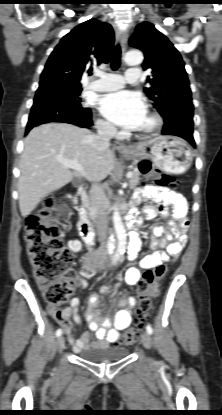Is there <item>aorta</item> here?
<instances>
[{
  "label": "aorta",
  "mask_w": 222,
  "mask_h": 415,
  "mask_svg": "<svg viewBox=\"0 0 222 415\" xmlns=\"http://www.w3.org/2000/svg\"><path fill=\"white\" fill-rule=\"evenodd\" d=\"M124 61L129 66L139 65L143 61V54L138 50H132L126 53L124 57ZM113 225L115 229V233L118 240L117 251L114 255V261H118L126 249L127 244V234L122 222L121 215L117 207H114V212L112 216Z\"/></svg>",
  "instance_id": "obj_1"
}]
</instances>
